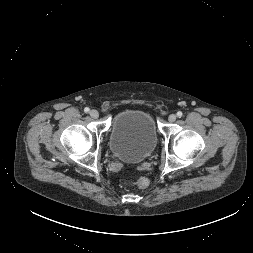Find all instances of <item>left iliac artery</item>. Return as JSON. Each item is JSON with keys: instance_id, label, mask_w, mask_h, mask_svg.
<instances>
[{"instance_id": "left-iliac-artery-1", "label": "left iliac artery", "mask_w": 253, "mask_h": 253, "mask_svg": "<svg viewBox=\"0 0 253 253\" xmlns=\"http://www.w3.org/2000/svg\"><path fill=\"white\" fill-rule=\"evenodd\" d=\"M182 115H183V113H182L181 111H178V112H177V116H178V117H182Z\"/></svg>"}]
</instances>
